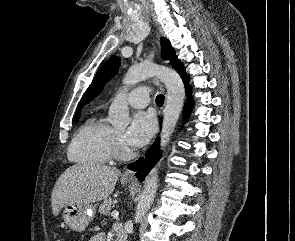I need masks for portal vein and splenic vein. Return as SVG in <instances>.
Instances as JSON below:
<instances>
[{
	"instance_id": "1",
	"label": "portal vein and splenic vein",
	"mask_w": 295,
	"mask_h": 241,
	"mask_svg": "<svg viewBox=\"0 0 295 241\" xmlns=\"http://www.w3.org/2000/svg\"><path fill=\"white\" fill-rule=\"evenodd\" d=\"M111 215L113 216V217H118V212H116V211H113L112 213H111Z\"/></svg>"
}]
</instances>
